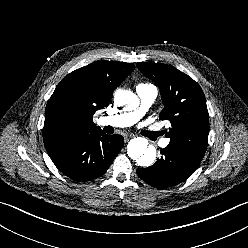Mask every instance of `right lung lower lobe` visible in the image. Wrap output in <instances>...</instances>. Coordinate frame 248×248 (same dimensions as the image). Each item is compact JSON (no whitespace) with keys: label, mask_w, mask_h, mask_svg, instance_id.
Returning <instances> with one entry per match:
<instances>
[{"label":"right lung lower lobe","mask_w":248,"mask_h":248,"mask_svg":"<svg viewBox=\"0 0 248 248\" xmlns=\"http://www.w3.org/2000/svg\"><path fill=\"white\" fill-rule=\"evenodd\" d=\"M123 145L121 135H107L97 130L64 140L46 150L64 175L77 182H86L105 174Z\"/></svg>","instance_id":"1"}]
</instances>
